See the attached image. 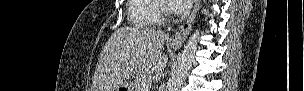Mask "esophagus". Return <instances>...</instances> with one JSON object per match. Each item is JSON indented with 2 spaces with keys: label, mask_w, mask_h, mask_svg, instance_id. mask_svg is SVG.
Instances as JSON below:
<instances>
[{
  "label": "esophagus",
  "mask_w": 304,
  "mask_h": 91,
  "mask_svg": "<svg viewBox=\"0 0 304 91\" xmlns=\"http://www.w3.org/2000/svg\"><path fill=\"white\" fill-rule=\"evenodd\" d=\"M200 5V0L194 1V7L190 14V16L187 18V20L181 24L177 31L169 38V44L173 46H182L185 42L187 36L189 35L193 22L195 20V17L198 12V8Z\"/></svg>",
  "instance_id": "esophagus-1"
}]
</instances>
